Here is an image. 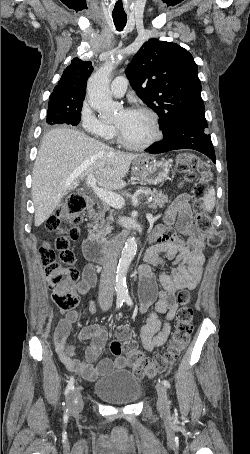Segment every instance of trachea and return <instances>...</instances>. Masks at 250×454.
<instances>
[{
	"label": "trachea",
	"mask_w": 250,
	"mask_h": 454,
	"mask_svg": "<svg viewBox=\"0 0 250 454\" xmlns=\"http://www.w3.org/2000/svg\"><path fill=\"white\" fill-rule=\"evenodd\" d=\"M113 22L118 31H122L127 23V16L113 15Z\"/></svg>",
	"instance_id": "3493384b"
}]
</instances>
